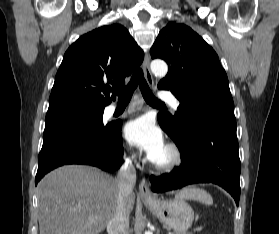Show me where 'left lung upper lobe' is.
<instances>
[{"instance_id": "5c2ea615", "label": "left lung upper lobe", "mask_w": 279, "mask_h": 234, "mask_svg": "<svg viewBox=\"0 0 279 234\" xmlns=\"http://www.w3.org/2000/svg\"><path fill=\"white\" fill-rule=\"evenodd\" d=\"M152 58L168 64L158 87L180 101L175 116L158 114L161 128L180 146L188 113H214L234 117V103L225 70L216 52L190 27L170 22L150 50Z\"/></svg>"}]
</instances>
